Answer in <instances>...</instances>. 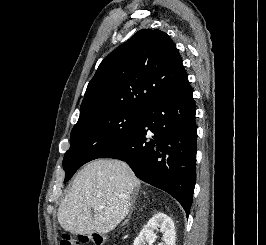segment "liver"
Listing matches in <instances>:
<instances>
[{"label": "liver", "instance_id": "liver-1", "mask_svg": "<svg viewBox=\"0 0 266 245\" xmlns=\"http://www.w3.org/2000/svg\"><path fill=\"white\" fill-rule=\"evenodd\" d=\"M139 185L140 181L123 161H90L76 175L61 203L58 223L73 235L110 233L127 217L131 195Z\"/></svg>", "mask_w": 266, "mask_h": 245}]
</instances>
